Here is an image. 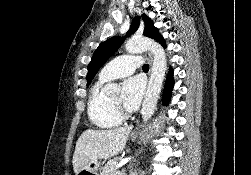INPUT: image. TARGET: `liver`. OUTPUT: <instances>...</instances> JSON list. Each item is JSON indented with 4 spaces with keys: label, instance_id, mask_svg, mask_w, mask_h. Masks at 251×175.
Segmentation results:
<instances>
[{
    "label": "liver",
    "instance_id": "6515ba94",
    "mask_svg": "<svg viewBox=\"0 0 251 175\" xmlns=\"http://www.w3.org/2000/svg\"><path fill=\"white\" fill-rule=\"evenodd\" d=\"M132 125L115 129H86L78 137L73 153V169L78 173L94 159H108L124 149Z\"/></svg>",
    "mask_w": 251,
    "mask_h": 175
}]
</instances>
